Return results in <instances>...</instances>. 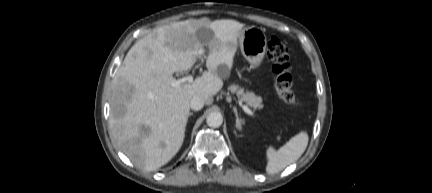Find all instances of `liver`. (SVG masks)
<instances>
[{"label":"liver","mask_w":432,"mask_h":193,"mask_svg":"<svg viewBox=\"0 0 432 193\" xmlns=\"http://www.w3.org/2000/svg\"><path fill=\"white\" fill-rule=\"evenodd\" d=\"M243 27L230 19H188L159 27L131 47L112 81L109 125L118 147L136 166L157 170L177 154L192 97L201 95L212 103L223 87L218 71L232 68ZM207 30L212 32L206 43L208 71L191 83L172 87L173 74L196 63Z\"/></svg>","instance_id":"liver-1"}]
</instances>
